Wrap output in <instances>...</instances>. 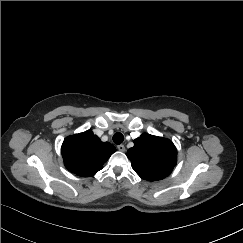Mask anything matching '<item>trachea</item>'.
<instances>
[{
    "label": "trachea",
    "mask_w": 243,
    "mask_h": 243,
    "mask_svg": "<svg viewBox=\"0 0 243 243\" xmlns=\"http://www.w3.org/2000/svg\"><path fill=\"white\" fill-rule=\"evenodd\" d=\"M113 141L115 144L119 145L124 141V136L122 133L117 132L113 135Z\"/></svg>",
    "instance_id": "3493384b"
}]
</instances>
